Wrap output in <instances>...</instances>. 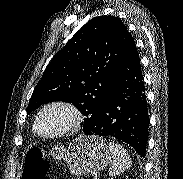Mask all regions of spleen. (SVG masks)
Returning <instances> with one entry per match:
<instances>
[{
    "label": "spleen",
    "instance_id": "3e777b00",
    "mask_svg": "<svg viewBox=\"0 0 183 179\" xmlns=\"http://www.w3.org/2000/svg\"><path fill=\"white\" fill-rule=\"evenodd\" d=\"M109 149L113 158V165L109 169V175H119L130 167L131 158L125 148L118 143L109 142Z\"/></svg>",
    "mask_w": 183,
    "mask_h": 179
}]
</instances>
